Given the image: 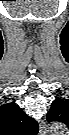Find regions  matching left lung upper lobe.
Here are the masks:
<instances>
[{
  "label": "left lung upper lobe",
  "mask_w": 69,
  "mask_h": 135,
  "mask_svg": "<svg viewBox=\"0 0 69 135\" xmlns=\"http://www.w3.org/2000/svg\"><path fill=\"white\" fill-rule=\"evenodd\" d=\"M49 122L51 121H61L66 123L69 119V100L67 99H56L46 116Z\"/></svg>",
  "instance_id": "1"
}]
</instances>
